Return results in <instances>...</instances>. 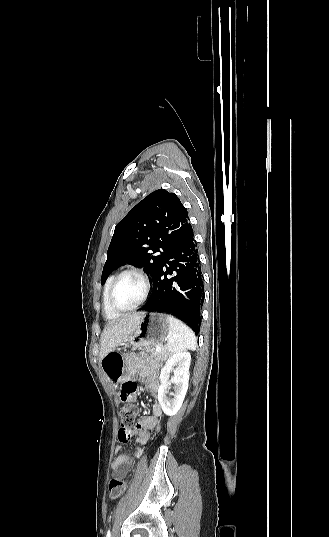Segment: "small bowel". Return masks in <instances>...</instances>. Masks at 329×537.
<instances>
[{"label": "small bowel", "mask_w": 329, "mask_h": 537, "mask_svg": "<svg viewBox=\"0 0 329 537\" xmlns=\"http://www.w3.org/2000/svg\"><path fill=\"white\" fill-rule=\"evenodd\" d=\"M126 373L129 379L139 376L141 379L147 381L148 390L157 395L159 392L158 382V365L155 364L149 357L145 355L132 356L126 361ZM138 382L135 379L130 381H123L121 383V391L119 397L121 404H128L129 400L135 397V392L138 391ZM162 415L160 404L155 402L152 405L150 414L144 416L140 421L139 426L134 430H125L119 432V440L127 444L131 439L135 437L140 444L146 443L148 439V431L158 426L159 418ZM123 447L121 445L116 446L115 453L117 457L112 463V472L116 476H124L127 472L122 468L123 465L129 466L135 459L141 455V449L138 448L133 455L121 454Z\"/></svg>", "instance_id": "small-bowel-1"}]
</instances>
